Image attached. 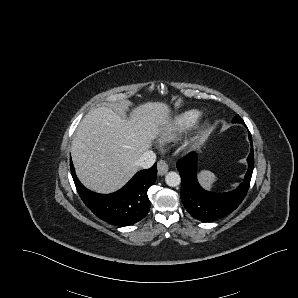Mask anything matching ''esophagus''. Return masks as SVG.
Here are the masks:
<instances>
[{
  "label": "esophagus",
  "mask_w": 298,
  "mask_h": 298,
  "mask_svg": "<svg viewBox=\"0 0 298 298\" xmlns=\"http://www.w3.org/2000/svg\"><path fill=\"white\" fill-rule=\"evenodd\" d=\"M157 169H158V174L160 176H163L164 174H166L169 167H168V164L165 161L160 160L157 164Z\"/></svg>",
  "instance_id": "1"
}]
</instances>
